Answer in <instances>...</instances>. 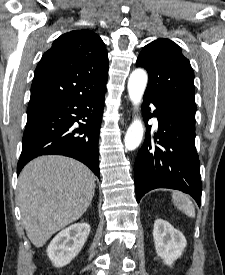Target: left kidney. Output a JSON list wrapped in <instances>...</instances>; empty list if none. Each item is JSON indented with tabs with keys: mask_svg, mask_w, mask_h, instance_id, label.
I'll return each mask as SVG.
<instances>
[{
	"mask_svg": "<svg viewBox=\"0 0 225 275\" xmlns=\"http://www.w3.org/2000/svg\"><path fill=\"white\" fill-rule=\"evenodd\" d=\"M153 238L157 255L169 266L182 255L187 245L184 235L162 219L154 223Z\"/></svg>",
	"mask_w": 225,
	"mask_h": 275,
	"instance_id": "obj_1",
	"label": "left kidney"
}]
</instances>
